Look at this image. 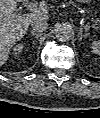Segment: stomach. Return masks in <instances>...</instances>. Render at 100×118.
Masks as SVG:
<instances>
[{"label":"stomach","instance_id":"0dacf381","mask_svg":"<svg viewBox=\"0 0 100 118\" xmlns=\"http://www.w3.org/2000/svg\"><path fill=\"white\" fill-rule=\"evenodd\" d=\"M80 3H89L91 0H77Z\"/></svg>","mask_w":100,"mask_h":118}]
</instances>
